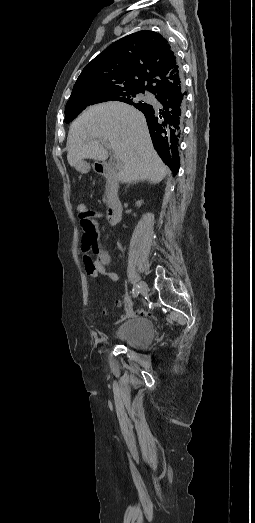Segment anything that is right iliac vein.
I'll use <instances>...</instances> for the list:
<instances>
[{"instance_id":"obj_1","label":"right iliac vein","mask_w":255,"mask_h":523,"mask_svg":"<svg viewBox=\"0 0 255 523\" xmlns=\"http://www.w3.org/2000/svg\"><path fill=\"white\" fill-rule=\"evenodd\" d=\"M139 286H140L139 292L142 293V294L146 293V291H147V284L144 281H141Z\"/></svg>"}]
</instances>
